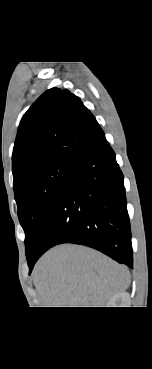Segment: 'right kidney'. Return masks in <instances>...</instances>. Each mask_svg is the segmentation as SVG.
Returning <instances> with one entry per match:
<instances>
[{"label": "right kidney", "instance_id": "1", "mask_svg": "<svg viewBox=\"0 0 152 369\" xmlns=\"http://www.w3.org/2000/svg\"><path fill=\"white\" fill-rule=\"evenodd\" d=\"M126 300V293H119L110 298L107 307H123Z\"/></svg>", "mask_w": 152, "mask_h": 369}]
</instances>
